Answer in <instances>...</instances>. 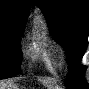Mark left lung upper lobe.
I'll return each instance as SVG.
<instances>
[{
    "mask_svg": "<svg viewBox=\"0 0 89 89\" xmlns=\"http://www.w3.org/2000/svg\"><path fill=\"white\" fill-rule=\"evenodd\" d=\"M42 10L52 36L65 49L69 73L65 85L68 89H86V67L79 66L89 34L88 0H35Z\"/></svg>",
    "mask_w": 89,
    "mask_h": 89,
    "instance_id": "1",
    "label": "left lung upper lobe"
}]
</instances>
